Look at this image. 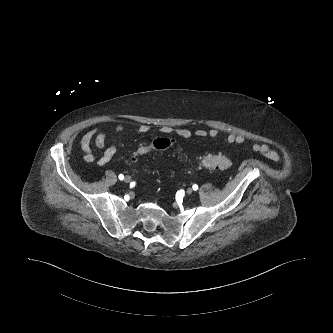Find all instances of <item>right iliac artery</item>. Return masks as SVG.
Returning a JSON list of instances; mask_svg holds the SVG:
<instances>
[{"label":"right iliac artery","instance_id":"right-iliac-artery-1","mask_svg":"<svg viewBox=\"0 0 333 333\" xmlns=\"http://www.w3.org/2000/svg\"><path fill=\"white\" fill-rule=\"evenodd\" d=\"M118 177H119L120 180L124 179V175H122V174H120Z\"/></svg>","mask_w":333,"mask_h":333}]
</instances>
